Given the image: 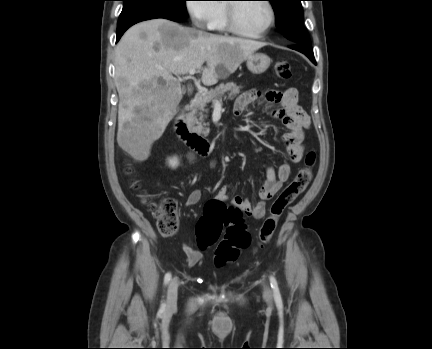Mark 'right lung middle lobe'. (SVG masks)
I'll use <instances>...</instances> for the list:
<instances>
[{"mask_svg":"<svg viewBox=\"0 0 432 349\" xmlns=\"http://www.w3.org/2000/svg\"><path fill=\"white\" fill-rule=\"evenodd\" d=\"M123 9L118 24H124L139 18L157 17L176 22L187 18V0H122Z\"/></svg>","mask_w":432,"mask_h":349,"instance_id":"right-lung-middle-lobe-1","label":"right lung middle lobe"}]
</instances>
